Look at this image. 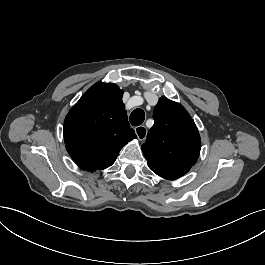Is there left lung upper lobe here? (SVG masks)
<instances>
[{"label":"left lung upper lobe","mask_w":265,"mask_h":265,"mask_svg":"<svg viewBox=\"0 0 265 265\" xmlns=\"http://www.w3.org/2000/svg\"><path fill=\"white\" fill-rule=\"evenodd\" d=\"M153 118L141 149L154 173L175 180L196 163L201 148L199 132L184 107L165 97L159 99Z\"/></svg>","instance_id":"obj_1"}]
</instances>
